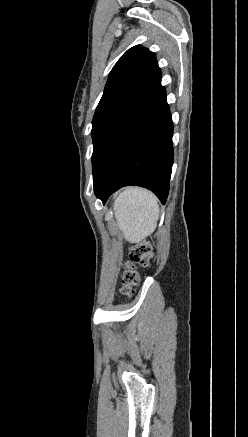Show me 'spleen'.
<instances>
[{
  "instance_id": "1",
  "label": "spleen",
  "mask_w": 248,
  "mask_h": 437,
  "mask_svg": "<svg viewBox=\"0 0 248 437\" xmlns=\"http://www.w3.org/2000/svg\"><path fill=\"white\" fill-rule=\"evenodd\" d=\"M114 213L125 239L131 243L138 242L157 224L158 199L146 189L129 187L116 198Z\"/></svg>"
}]
</instances>
